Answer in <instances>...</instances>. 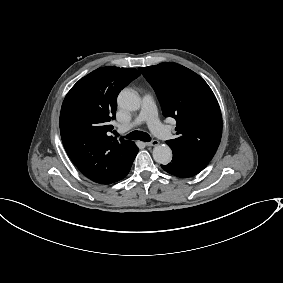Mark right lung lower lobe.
<instances>
[{"instance_id": "obj_1", "label": "right lung lower lobe", "mask_w": 283, "mask_h": 283, "mask_svg": "<svg viewBox=\"0 0 283 283\" xmlns=\"http://www.w3.org/2000/svg\"><path fill=\"white\" fill-rule=\"evenodd\" d=\"M137 153H138V152H137ZM131 166H132V165H131ZM131 166H129L114 182H116V181H118V180H121V179H123L124 177H126L127 174H128L129 171H130ZM114 182H112V183H114ZM109 184H111V183H109Z\"/></svg>"}]
</instances>
